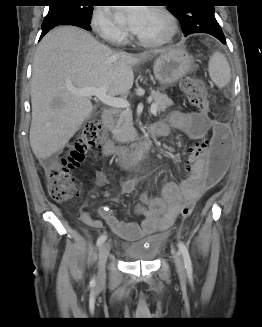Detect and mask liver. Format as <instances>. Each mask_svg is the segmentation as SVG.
Listing matches in <instances>:
<instances>
[{"mask_svg": "<svg viewBox=\"0 0 262 327\" xmlns=\"http://www.w3.org/2000/svg\"><path fill=\"white\" fill-rule=\"evenodd\" d=\"M158 53L163 51L153 52ZM148 57L113 51L77 27L49 32L38 45L31 78L29 140L36 158L46 160L63 149L95 110L73 89L105 87L110 96L124 95L133 86L132 67Z\"/></svg>", "mask_w": 262, "mask_h": 327, "instance_id": "6515ba94", "label": "liver"}]
</instances>
